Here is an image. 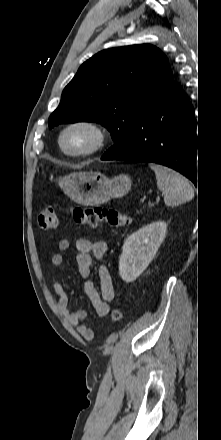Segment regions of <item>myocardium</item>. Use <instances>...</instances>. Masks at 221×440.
Segmentation results:
<instances>
[{
    "label": "myocardium",
    "instance_id": "f54148a6",
    "mask_svg": "<svg viewBox=\"0 0 221 440\" xmlns=\"http://www.w3.org/2000/svg\"><path fill=\"white\" fill-rule=\"evenodd\" d=\"M73 130H82L89 137V143L79 149H67L64 145L65 136ZM107 142V132L97 121L91 119H76L64 125L58 133L57 144L62 154L70 158L92 156L101 151Z\"/></svg>",
    "mask_w": 221,
    "mask_h": 440
}]
</instances>
